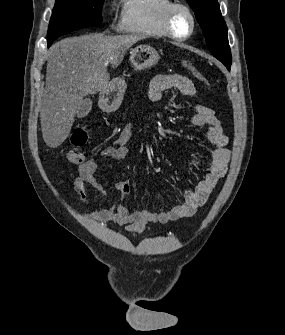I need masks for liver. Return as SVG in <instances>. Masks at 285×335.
<instances>
[{
    "label": "liver",
    "mask_w": 285,
    "mask_h": 335,
    "mask_svg": "<svg viewBox=\"0 0 285 335\" xmlns=\"http://www.w3.org/2000/svg\"><path fill=\"white\" fill-rule=\"evenodd\" d=\"M144 36L87 34L65 38L50 48L40 112L43 140L58 148L68 138L78 106L109 84L108 64L119 66L127 50Z\"/></svg>",
    "instance_id": "obj_1"
}]
</instances>
